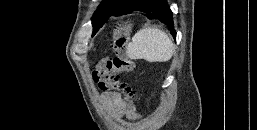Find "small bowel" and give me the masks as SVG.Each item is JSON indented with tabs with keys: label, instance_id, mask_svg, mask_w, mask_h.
I'll return each instance as SVG.
<instances>
[{
	"label": "small bowel",
	"instance_id": "small-bowel-1",
	"mask_svg": "<svg viewBox=\"0 0 257 130\" xmlns=\"http://www.w3.org/2000/svg\"><path fill=\"white\" fill-rule=\"evenodd\" d=\"M119 110L123 115H126L128 117H134L135 115L134 107L131 105H121L119 107Z\"/></svg>",
	"mask_w": 257,
	"mask_h": 130
}]
</instances>
